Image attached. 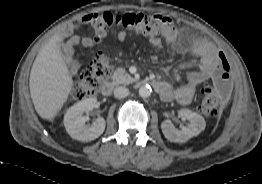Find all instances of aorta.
Returning a JSON list of instances; mask_svg holds the SVG:
<instances>
[{"label":"aorta","instance_id":"obj_1","mask_svg":"<svg viewBox=\"0 0 262 184\" xmlns=\"http://www.w3.org/2000/svg\"><path fill=\"white\" fill-rule=\"evenodd\" d=\"M151 92H152V90H151V87L149 85H143L139 88V95L141 97L147 98L151 95Z\"/></svg>","mask_w":262,"mask_h":184}]
</instances>
